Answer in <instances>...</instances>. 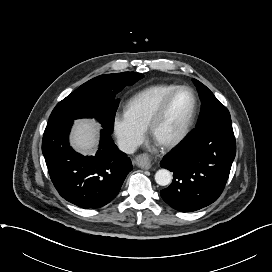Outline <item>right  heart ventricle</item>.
<instances>
[{"label": "right heart ventricle", "instance_id": "1", "mask_svg": "<svg viewBox=\"0 0 272 272\" xmlns=\"http://www.w3.org/2000/svg\"><path fill=\"white\" fill-rule=\"evenodd\" d=\"M176 87L178 85L156 84L139 91L127 102V115L136 124L147 129L153 114L162 100Z\"/></svg>", "mask_w": 272, "mask_h": 272}]
</instances>
